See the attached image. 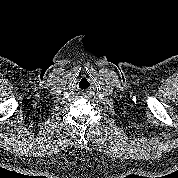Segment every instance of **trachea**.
<instances>
[{
	"instance_id": "trachea-1",
	"label": "trachea",
	"mask_w": 178,
	"mask_h": 178,
	"mask_svg": "<svg viewBox=\"0 0 178 178\" xmlns=\"http://www.w3.org/2000/svg\"><path fill=\"white\" fill-rule=\"evenodd\" d=\"M78 87L82 90H86L90 87V82L88 81V79L86 78H82L79 82H78Z\"/></svg>"
}]
</instances>
